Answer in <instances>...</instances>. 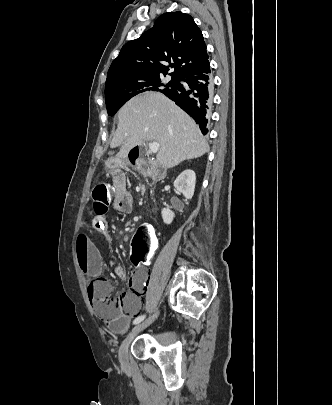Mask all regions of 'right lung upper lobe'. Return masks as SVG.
<instances>
[{"label": "right lung upper lobe", "instance_id": "right-lung-upper-lobe-1", "mask_svg": "<svg viewBox=\"0 0 332 405\" xmlns=\"http://www.w3.org/2000/svg\"><path fill=\"white\" fill-rule=\"evenodd\" d=\"M206 60L204 38L193 18L180 11L165 13L154 27L122 47L109 68L105 88L128 77L166 75L172 67L170 75L180 77Z\"/></svg>", "mask_w": 332, "mask_h": 405}]
</instances>
